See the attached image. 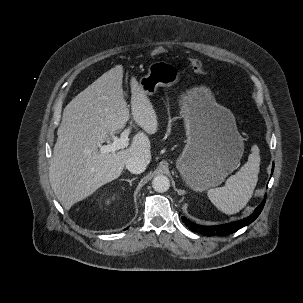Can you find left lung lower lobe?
<instances>
[{
    "mask_svg": "<svg viewBox=\"0 0 303 303\" xmlns=\"http://www.w3.org/2000/svg\"><path fill=\"white\" fill-rule=\"evenodd\" d=\"M273 170H274V166L272 168V172H273ZM264 204H265V199L255 209V211L252 215H250L247 218H244L243 220L231 222L228 224L217 225V226H201V225L192 223L185 217L182 218V221L185 223V225L187 227H189L190 230H192L193 232H196L198 234H202L204 236H225V235L232 234V233L236 232L237 230L241 229L242 227L252 223L258 217V215L261 213V211L264 207Z\"/></svg>",
    "mask_w": 303,
    "mask_h": 303,
    "instance_id": "0a47b994",
    "label": "left lung lower lobe"
}]
</instances>
